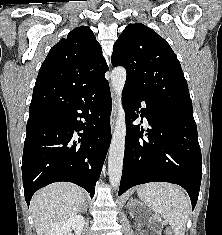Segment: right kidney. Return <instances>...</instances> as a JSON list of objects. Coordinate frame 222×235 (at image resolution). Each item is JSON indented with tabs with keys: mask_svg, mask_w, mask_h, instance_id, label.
<instances>
[{
	"mask_svg": "<svg viewBox=\"0 0 222 235\" xmlns=\"http://www.w3.org/2000/svg\"><path fill=\"white\" fill-rule=\"evenodd\" d=\"M84 224L85 218L81 215H76L55 225L48 235H67L71 228L74 230L75 235H81Z\"/></svg>",
	"mask_w": 222,
	"mask_h": 235,
	"instance_id": "right-kidney-1",
	"label": "right kidney"
}]
</instances>
